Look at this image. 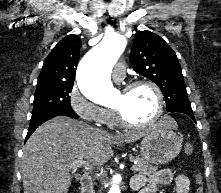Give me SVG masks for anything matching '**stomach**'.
Masks as SVG:
<instances>
[{
	"label": "stomach",
	"instance_id": "1",
	"mask_svg": "<svg viewBox=\"0 0 221 193\" xmlns=\"http://www.w3.org/2000/svg\"><path fill=\"white\" fill-rule=\"evenodd\" d=\"M181 146V138L159 121L143 135L140 155L148 163L165 164L179 154Z\"/></svg>",
	"mask_w": 221,
	"mask_h": 193
}]
</instances>
